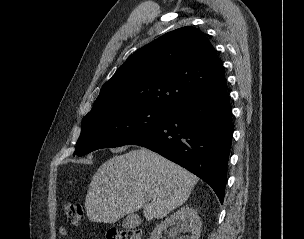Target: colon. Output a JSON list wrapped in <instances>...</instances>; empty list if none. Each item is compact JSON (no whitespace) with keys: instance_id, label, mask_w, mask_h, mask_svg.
I'll use <instances>...</instances> for the list:
<instances>
[{"instance_id":"obj_1","label":"colon","mask_w":304,"mask_h":239,"mask_svg":"<svg viewBox=\"0 0 304 239\" xmlns=\"http://www.w3.org/2000/svg\"><path fill=\"white\" fill-rule=\"evenodd\" d=\"M64 212L70 224L78 226L84 217L83 206L80 203L66 202ZM107 239H142V234L138 230L112 228L108 230Z\"/></svg>"}]
</instances>
